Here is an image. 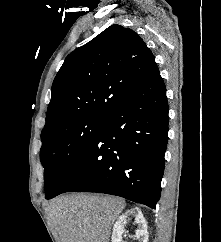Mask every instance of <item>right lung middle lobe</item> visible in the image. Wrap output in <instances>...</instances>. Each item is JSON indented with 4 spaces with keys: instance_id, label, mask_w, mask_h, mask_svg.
<instances>
[{
    "instance_id": "1",
    "label": "right lung middle lobe",
    "mask_w": 221,
    "mask_h": 242,
    "mask_svg": "<svg viewBox=\"0 0 221 242\" xmlns=\"http://www.w3.org/2000/svg\"><path fill=\"white\" fill-rule=\"evenodd\" d=\"M103 120V117L80 118L41 134L40 160L44 167L46 199L70 162L100 129Z\"/></svg>"
}]
</instances>
